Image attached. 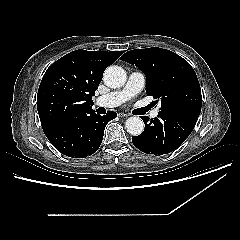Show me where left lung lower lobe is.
<instances>
[{"mask_svg": "<svg viewBox=\"0 0 240 240\" xmlns=\"http://www.w3.org/2000/svg\"><path fill=\"white\" fill-rule=\"evenodd\" d=\"M201 110L183 109L170 112H159L158 117L149 121L143 117L144 132L133 136L136 148L146 154L163 155L178 148L195 127Z\"/></svg>", "mask_w": 240, "mask_h": 240, "instance_id": "left-lung-lower-lobe-1", "label": "left lung lower lobe"}]
</instances>
